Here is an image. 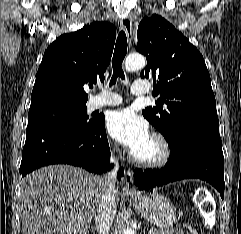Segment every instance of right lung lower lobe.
I'll return each instance as SVG.
<instances>
[{
    "mask_svg": "<svg viewBox=\"0 0 241 234\" xmlns=\"http://www.w3.org/2000/svg\"><path fill=\"white\" fill-rule=\"evenodd\" d=\"M109 161L104 117L96 118L90 127L44 123L27 127L19 172L24 177L46 165L71 164L103 173L112 167ZM123 174L120 169L118 180Z\"/></svg>",
    "mask_w": 241,
    "mask_h": 234,
    "instance_id": "obj_1",
    "label": "right lung lower lobe"
}]
</instances>
